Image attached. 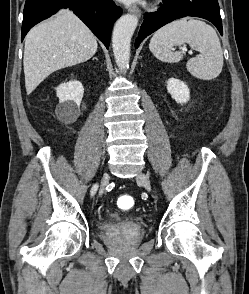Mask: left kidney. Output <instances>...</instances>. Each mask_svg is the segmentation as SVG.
Masks as SVG:
<instances>
[{
	"instance_id": "left-kidney-1",
	"label": "left kidney",
	"mask_w": 249,
	"mask_h": 294,
	"mask_svg": "<svg viewBox=\"0 0 249 294\" xmlns=\"http://www.w3.org/2000/svg\"><path fill=\"white\" fill-rule=\"evenodd\" d=\"M167 90L177 103L183 104L188 102L190 99L188 86L179 79L170 78L167 81Z\"/></svg>"
}]
</instances>
